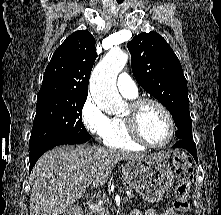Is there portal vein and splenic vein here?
Segmentation results:
<instances>
[{
  "instance_id": "obj_1",
  "label": "portal vein and splenic vein",
  "mask_w": 221,
  "mask_h": 215,
  "mask_svg": "<svg viewBox=\"0 0 221 215\" xmlns=\"http://www.w3.org/2000/svg\"><path fill=\"white\" fill-rule=\"evenodd\" d=\"M124 200H128L127 197H124ZM88 206H89V209L94 210L99 213L105 211V208L100 205L88 204Z\"/></svg>"
}]
</instances>
